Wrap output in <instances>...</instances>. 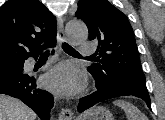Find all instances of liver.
Instances as JSON below:
<instances>
[{
    "mask_svg": "<svg viewBox=\"0 0 165 120\" xmlns=\"http://www.w3.org/2000/svg\"><path fill=\"white\" fill-rule=\"evenodd\" d=\"M36 114L20 100L0 94V120H35Z\"/></svg>",
    "mask_w": 165,
    "mask_h": 120,
    "instance_id": "6515ba94",
    "label": "liver"
}]
</instances>
